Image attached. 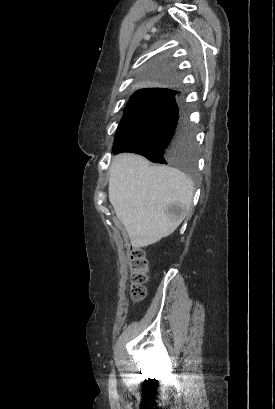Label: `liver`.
Listing matches in <instances>:
<instances>
[{
	"mask_svg": "<svg viewBox=\"0 0 275 409\" xmlns=\"http://www.w3.org/2000/svg\"><path fill=\"white\" fill-rule=\"evenodd\" d=\"M109 200L117 219L124 225L133 247H148L176 231L180 221L165 213L170 202L188 213L194 184L173 166H150L140 154H116L109 174Z\"/></svg>",
	"mask_w": 275,
	"mask_h": 409,
	"instance_id": "obj_1",
	"label": "liver"
}]
</instances>
